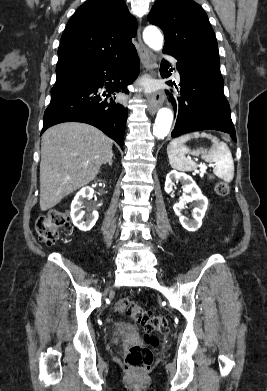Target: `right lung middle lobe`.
Here are the masks:
<instances>
[{
	"instance_id": "dd1d6c3e",
	"label": "right lung middle lobe",
	"mask_w": 267,
	"mask_h": 391,
	"mask_svg": "<svg viewBox=\"0 0 267 391\" xmlns=\"http://www.w3.org/2000/svg\"><path fill=\"white\" fill-rule=\"evenodd\" d=\"M61 78H63V77H61ZM61 78H57V80H59V79H61Z\"/></svg>"
}]
</instances>
